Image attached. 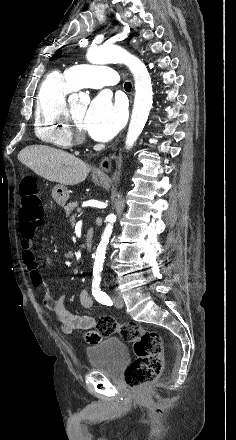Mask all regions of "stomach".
<instances>
[{
	"mask_svg": "<svg viewBox=\"0 0 236 440\" xmlns=\"http://www.w3.org/2000/svg\"><path fill=\"white\" fill-rule=\"evenodd\" d=\"M92 181L96 185H102L105 182V176L93 174ZM52 197L59 206L63 207L69 199V191L64 185H56L52 190Z\"/></svg>",
	"mask_w": 236,
	"mask_h": 440,
	"instance_id": "1",
	"label": "stomach"
}]
</instances>
